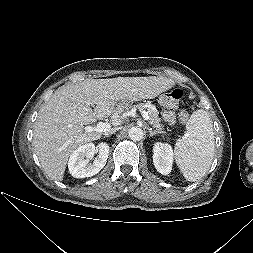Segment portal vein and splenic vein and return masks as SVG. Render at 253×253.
I'll return each instance as SVG.
<instances>
[{"instance_id": "18ae733b", "label": "portal vein and splenic vein", "mask_w": 253, "mask_h": 253, "mask_svg": "<svg viewBox=\"0 0 253 253\" xmlns=\"http://www.w3.org/2000/svg\"><path fill=\"white\" fill-rule=\"evenodd\" d=\"M141 115L145 120H149V115L146 111H141ZM111 128V125L107 122H99L96 126H86L87 132H107Z\"/></svg>"}]
</instances>
